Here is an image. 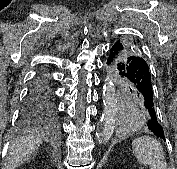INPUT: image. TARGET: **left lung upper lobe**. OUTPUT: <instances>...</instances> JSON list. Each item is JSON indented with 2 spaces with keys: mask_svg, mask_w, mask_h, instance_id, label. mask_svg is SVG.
Segmentation results:
<instances>
[{
  "mask_svg": "<svg viewBox=\"0 0 177 169\" xmlns=\"http://www.w3.org/2000/svg\"><path fill=\"white\" fill-rule=\"evenodd\" d=\"M120 45L123 46V49L117 59V61L123 60L124 58L134 55L144 58V52L142 46L138 40L128 39L125 41H117Z\"/></svg>",
  "mask_w": 177,
  "mask_h": 169,
  "instance_id": "5c2ea615",
  "label": "left lung upper lobe"
}]
</instances>
